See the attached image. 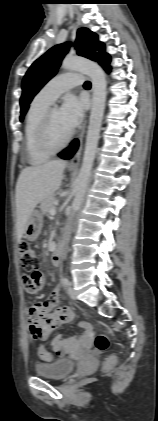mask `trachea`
I'll return each mask as SVG.
<instances>
[{
  "mask_svg": "<svg viewBox=\"0 0 158 421\" xmlns=\"http://www.w3.org/2000/svg\"><path fill=\"white\" fill-rule=\"evenodd\" d=\"M91 86V83L89 82V81H86L85 83H84V87H90Z\"/></svg>",
  "mask_w": 158,
  "mask_h": 421,
  "instance_id": "3493384b",
  "label": "trachea"
}]
</instances>
